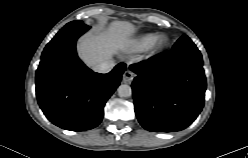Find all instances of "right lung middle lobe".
Wrapping results in <instances>:
<instances>
[{
  "instance_id": "dd1d6c3e",
  "label": "right lung middle lobe",
  "mask_w": 248,
  "mask_h": 158,
  "mask_svg": "<svg viewBox=\"0 0 248 158\" xmlns=\"http://www.w3.org/2000/svg\"><path fill=\"white\" fill-rule=\"evenodd\" d=\"M81 24H82L81 21H72L66 24L63 28L76 27V26H80Z\"/></svg>"
}]
</instances>
